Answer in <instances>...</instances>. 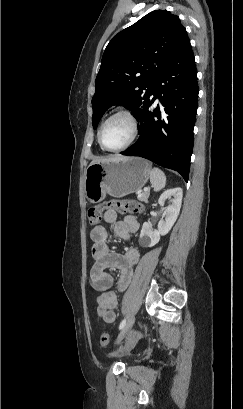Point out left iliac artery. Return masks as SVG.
Returning <instances> with one entry per match:
<instances>
[{
  "label": "left iliac artery",
  "instance_id": "left-iliac-artery-1",
  "mask_svg": "<svg viewBox=\"0 0 243 409\" xmlns=\"http://www.w3.org/2000/svg\"><path fill=\"white\" fill-rule=\"evenodd\" d=\"M125 325H126V319H123V320L121 321L120 325H119V329H120V330L123 329V328L125 327Z\"/></svg>",
  "mask_w": 243,
  "mask_h": 409
}]
</instances>
